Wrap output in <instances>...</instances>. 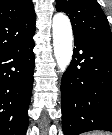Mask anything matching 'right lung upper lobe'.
Returning a JSON list of instances; mask_svg holds the SVG:
<instances>
[{"instance_id":"right-lung-upper-lobe-1","label":"right lung upper lobe","mask_w":112,"mask_h":135,"mask_svg":"<svg viewBox=\"0 0 112 135\" xmlns=\"http://www.w3.org/2000/svg\"><path fill=\"white\" fill-rule=\"evenodd\" d=\"M35 23L31 0H0V54L33 35Z\"/></svg>"}]
</instances>
